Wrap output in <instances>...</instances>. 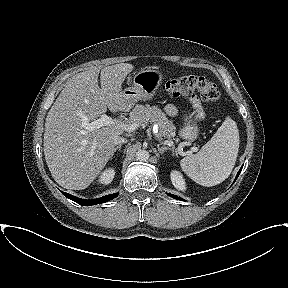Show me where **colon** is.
<instances>
[{
    "mask_svg": "<svg viewBox=\"0 0 288 288\" xmlns=\"http://www.w3.org/2000/svg\"><path fill=\"white\" fill-rule=\"evenodd\" d=\"M164 91L174 97L198 92L202 98L209 102H215L220 98L218 86L203 76L184 75L172 79L164 84Z\"/></svg>",
    "mask_w": 288,
    "mask_h": 288,
    "instance_id": "obj_1",
    "label": "colon"
}]
</instances>
